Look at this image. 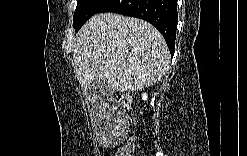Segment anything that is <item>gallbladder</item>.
I'll list each match as a JSON object with an SVG mask.
<instances>
[{
  "label": "gallbladder",
  "mask_w": 247,
  "mask_h": 156,
  "mask_svg": "<svg viewBox=\"0 0 247 156\" xmlns=\"http://www.w3.org/2000/svg\"><path fill=\"white\" fill-rule=\"evenodd\" d=\"M88 91L94 94L103 92L106 95H110L113 92V89L110 88L106 82L102 80H96L88 87Z\"/></svg>",
  "instance_id": "obj_1"
}]
</instances>
